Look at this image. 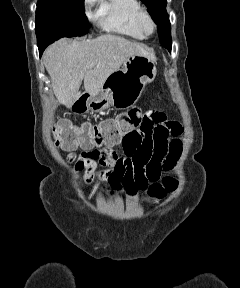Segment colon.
<instances>
[{"mask_svg":"<svg viewBox=\"0 0 240 288\" xmlns=\"http://www.w3.org/2000/svg\"><path fill=\"white\" fill-rule=\"evenodd\" d=\"M143 118L144 112L135 108L98 124L84 123L76 126L67 120H62L53 128V137L57 146L64 150L116 143L124 137L136 133L142 125ZM176 187V180L166 177L162 184H155L151 187L149 195L156 199H162Z\"/></svg>","mask_w":240,"mask_h":288,"instance_id":"1","label":"colon"}]
</instances>
